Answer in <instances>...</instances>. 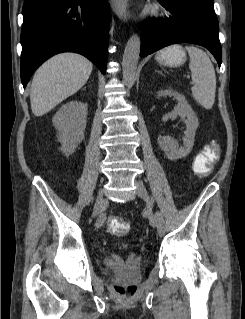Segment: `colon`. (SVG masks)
<instances>
[{"label":"colon","instance_id":"colon-1","mask_svg":"<svg viewBox=\"0 0 245 319\" xmlns=\"http://www.w3.org/2000/svg\"><path fill=\"white\" fill-rule=\"evenodd\" d=\"M220 156V147L216 143L208 144L195 158L193 171L198 176H207L212 172L214 164ZM110 231L123 236L129 231V221L125 217H112L108 222ZM135 284L115 285V290L125 298H128L136 292Z\"/></svg>","mask_w":245,"mask_h":319}]
</instances>
